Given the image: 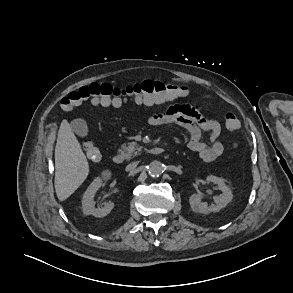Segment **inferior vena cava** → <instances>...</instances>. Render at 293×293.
Masks as SVG:
<instances>
[{
  "label": "inferior vena cava",
  "mask_w": 293,
  "mask_h": 293,
  "mask_svg": "<svg viewBox=\"0 0 293 293\" xmlns=\"http://www.w3.org/2000/svg\"><path fill=\"white\" fill-rule=\"evenodd\" d=\"M137 165H138V162H132L126 166V170L127 171L134 170L137 167Z\"/></svg>",
  "instance_id": "602c4592"
}]
</instances>
